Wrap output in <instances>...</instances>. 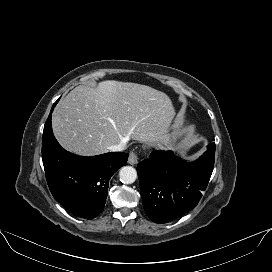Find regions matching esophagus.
I'll use <instances>...</instances> for the list:
<instances>
[{"mask_svg": "<svg viewBox=\"0 0 272 272\" xmlns=\"http://www.w3.org/2000/svg\"><path fill=\"white\" fill-rule=\"evenodd\" d=\"M138 155L136 152H131L128 158V162L131 165H135L138 162Z\"/></svg>", "mask_w": 272, "mask_h": 272, "instance_id": "1", "label": "esophagus"}]
</instances>
